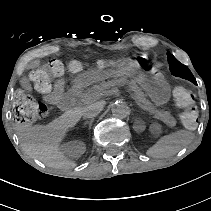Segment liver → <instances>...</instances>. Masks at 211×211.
<instances>
[{
	"mask_svg": "<svg viewBox=\"0 0 211 211\" xmlns=\"http://www.w3.org/2000/svg\"><path fill=\"white\" fill-rule=\"evenodd\" d=\"M79 119L80 115L65 112L46 126L16 124L14 128L27 155L49 167L66 170L75 167V164L64 157L58 144L66 129L73 127Z\"/></svg>",
	"mask_w": 211,
	"mask_h": 211,
	"instance_id": "1",
	"label": "liver"
}]
</instances>
